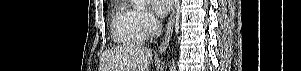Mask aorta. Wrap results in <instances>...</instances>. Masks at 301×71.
I'll return each instance as SVG.
<instances>
[{
    "mask_svg": "<svg viewBox=\"0 0 301 71\" xmlns=\"http://www.w3.org/2000/svg\"><path fill=\"white\" fill-rule=\"evenodd\" d=\"M147 0H132V3L135 7H142L146 4ZM170 71H176V64L175 61L172 62L170 67Z\"/></svg>",
    "mask_w": 301,
    "mask_h": 71,
    "instance_id": "obj_1",
    "label": "aorta"
}]
</instances>
